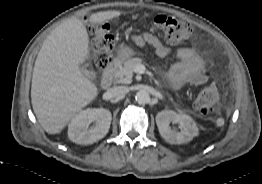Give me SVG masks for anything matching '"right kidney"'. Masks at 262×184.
I'll return each mask as SVG.
<instances>
[{"label": "right kidney", "mask_w": 262, "mask_h": 184, "mask_svg": "<svg viewBox=\"0 0 262 184\" xmlns=\"http://www.w3.org/2000/svg\"><path fill=\"white\" fill-rule=\"evenodd\" d=\"M111 112L104 108L79 112L69 123L68 137L72 142L89 145L102 139L111 124ZM94 122V126L90 124Z\"/></svg>", "instance_id": "obj_1"}]
</instances>
